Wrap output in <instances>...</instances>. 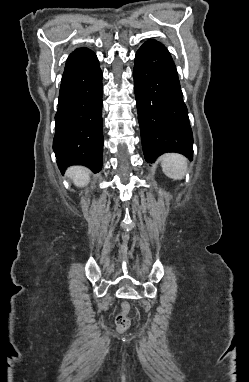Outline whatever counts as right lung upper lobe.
Masks as SVG:
<instances>
[{"instance_id": "1", "label": "right lung upper lobe", "mask_w": 249, "mask_h": 382, "mask_svg": "<svg viewBox=\"0 0 249 382\" xmlns=\"http://www.w3.org/2000/svg\"><path fill=\"white\" fill-rule=\"evenodd\" d=\"M95 54L88 48H78L70 54L66 61L65 70L62 76L68 77L76 70L88 63Z\"/></svg>"}]
</instances>
